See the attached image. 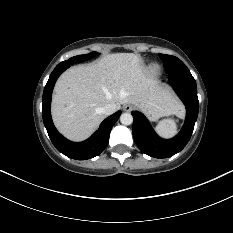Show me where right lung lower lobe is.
<instances>
[{"mask_svg":"<svg viewBox=\"0 0 233 233\" xmlns=\"http://www.w3.org/2000/svg\"><path fill=\"white\" fill-rule=\"evenodd\" d=\"M69 67L70 65H57L49 77L44 88L42 99L43 122L53 145L59 152L72 159L86 160L99 155L106 148L109 142L110 131L119 118L121 111H118L106 118L101 123L99 129L86 141L74 143L64 138L53 125L50 105L55 82L57 78Z\"/></svg>","mask_w":233,"mask_h":233,"instance_id":"1","label":"right lung lower lobe"}]
</instances>
